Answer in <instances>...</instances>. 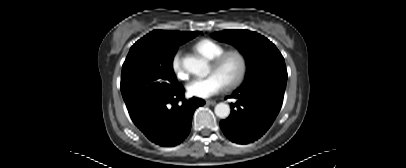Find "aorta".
I'll return each mask as SVG.
<instances>
[{
    "label": "aorta",
    "instance_id": "762f6f07",
    "mask_svg": "<svg viewBox=\"0 0 406 168\" xmlns=\"http://www.w3.org/2000/svg\"><path fill=\"white\" fill-rule=\"evenodd\" d=\"M183 67L190 73L196 74L200 77H205L209 73L207 62L203 58H196L194 56H187L183 59ZM214 112L219 118H227L230 114V107L228 104L219 103L215 106Z\"/></svg>",
    "mask_w": 406,
    "mask_h": 168
}]
</instances>
